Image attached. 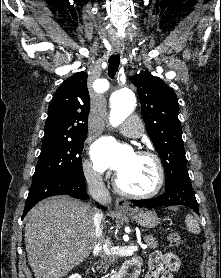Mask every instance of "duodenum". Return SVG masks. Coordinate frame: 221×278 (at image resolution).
Returning <instances> with one entry per match:
<instances>
[{"instance_id": "duodenum-1", "label": "duodenum", "mask_w": 221, "mask_h": 278, "mask_svg": "<svg viewBox=\"0 0 221 278\" xmlns=\"http://www.w3.org/2000/svg\"><path fill=\"white\" fill-rule=\"evenodd\" d=\"M140 273L139 263H131L124 268L117 278H138Z\"/></svg>"}]
</instances>
